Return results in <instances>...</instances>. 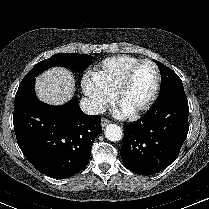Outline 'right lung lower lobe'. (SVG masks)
<instances>
[{"instance_id":"right-lung-lower-lobe-1","label":"right lung lower lobe","mask_w":209,"mask_h":209,"mask_svg":"<svg viewBox=\"0 0 209 209\" xmlns=\"http://www.w3.org/2000/svg\"><path fill=\"white\" fill-rule=\"evenodd\" d=\"M35 78L21 84L15 96L13 124L24 156L42 174L58 179L87 166L91 147L102 132L99 115H87L72 99L62 106L39 101Z\"/></svg>"}]
</instances>
